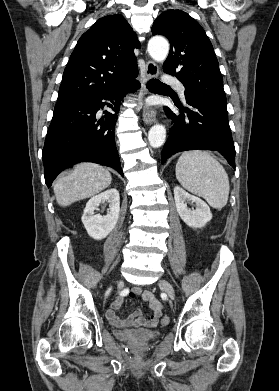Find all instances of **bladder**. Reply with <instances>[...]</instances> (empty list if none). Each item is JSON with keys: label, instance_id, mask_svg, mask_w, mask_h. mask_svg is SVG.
<instances>
[{"label": "bladder", "instance_id": "obj_1", "mask_svg": "<svg viewBox=\"0 0 279 391\" xmlns=\"http://www.w3.org/2000/svg\"><path fill=\"white\" fill-rule=\"evenodd\" d=\"M159 334L158 331L151 330H123L118 331L116 336L125 343L141 345L154 341Z\"/></svg>", "mask_w": 279, "mask_h": 391}]
</instances>
